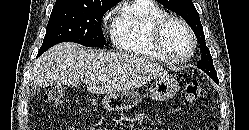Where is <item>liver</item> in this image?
<instances>
[{
    "label": "liver",
    "mask_w": 249,
    "mask_h": 130,
    "mask_svg": "<svg viewBox=\"0 0 249 130\" xmlns=\"http://www.w3.org/2000/svg\"><path fill=\"white\" fill-rule=\"evenodd\" d=\"M167 75L161 65L144 57L86 50L76 43L66 42L52 47L38 58L30 84L77 87L83 80L88 92L108 95L140 88Z\"/></svg>",
    "instance_id": "6515ba94"
}]
</instances>
